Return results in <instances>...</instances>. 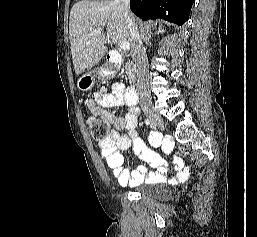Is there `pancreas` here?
I'll return each instance as SVG.
<instances>
[{
	"mask_svg": "<svg viewBox=\"0 0 257 237\" xmlns=\"http://www.w3.org/2000/svg\"><path fill=\"white\" fill-rule=\"evenodd\" d=\"M125 69L128 76V79L131 83L135 81L136 67L133 61H127L125 63Z\"/></svg>",
	"mask_w": 257,
	"mask_h": 237,
	"instance_id": "pancreas-1",
	"label": "pancreas"
}]
</instances>
